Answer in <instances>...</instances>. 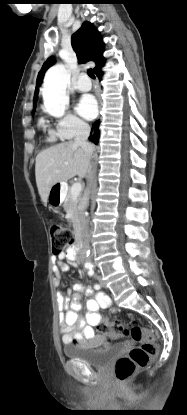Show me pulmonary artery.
Returning <instances> with one entry per match:
<instances>
[{"instance_id":"pulmonary-artery-1","label":"pulmonary artery","mask_w":187,"mask_h":415,"mask_svg":"<svg viewBox=\"0 0 187 415\" xmlns=\"http://www.w3.org/2000/svg\"><path fill=\"white\" fill-rule=\"evenodd\" d=\"M75 89L80 91V92H86L89 91L92 87L91 81L89 80V78L87 77L86 74L82 73L77 82L75 83Z\"/></svg>"}]
</instances>
